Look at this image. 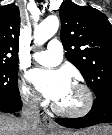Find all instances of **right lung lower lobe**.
<instances>
[{
	"instance_id": "right-lung-lower-lobe-1",
	"label": "right lung lower lobe",
	"mask_w": 112,
	"mask_h": 135,
	"mask_svg": "<svg viewBox=\"0 0 112 135\" xmlns=\"http://www.w3.org/2000/svg\"><path fill=\"white\" fill-rule=\"evenodd\" d=\"M21 109V101L15 99H1L0 98V111L15 114Z\"/></svg>"
}]
</instances>
